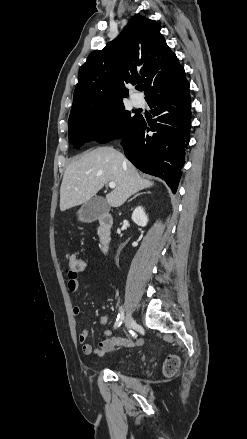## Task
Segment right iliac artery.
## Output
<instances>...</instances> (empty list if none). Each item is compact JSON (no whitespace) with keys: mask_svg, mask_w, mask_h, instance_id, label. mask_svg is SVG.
I'll list each match as a JSON object with an SVG mask.
<instances>
[{"mask_svg":"<svg viewBox=\"0 0 247 439\" xmlns=\"http://www.w3.org/2000/svg\"><path fill=\"white\" fill-rule=\"evenodd\" d=\"M119 309H120V313L118 314V317H117L115 325H114L115 329L118 328L123 323V321H124L123 309H122V307H120Z\"/></svg>","mask_w":247,"mask_h":439,"instance_id":"1","label":"right iliac artery"}]
</instances>
